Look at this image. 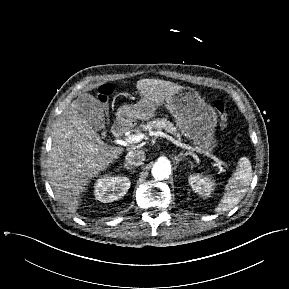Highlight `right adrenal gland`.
I'll use <instances>...</instances> for the list:
<instances>
[{
	"label": "right adrenal gland",
	"mask_w": 289,
	"mask_h": 289,
	"mask_svg": "<svg viewBox=\"0 0 289 289\" xmlns=\"http://www.w3.org/2000/svg\"><path fill=\"white\" fill-rule=\"evenodd\" d=\"M124 168L131 170L132 167H129L127 163H124Z\"/></svg>",
	"instance_id": "1"
}]
</instances>
